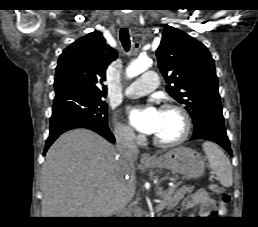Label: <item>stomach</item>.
<instances>
[{
  "mask_svg": "<svg viewBox=\"0 0 258 227\" xmlns=\"http://www.w3.org/2000/svg\"><path fill=\"white\" fill-rule=\"evenodd\" d=\"M148 168L167 169L182 174L188 179L199 178L205 170V162L201 155L188 147L179 146L145 165Z\"/></svg>",
  "mask_w": 258,
  "mask_h": 227,
  "instance_id": "obj_1",
  "label": "stomach"
}]
</instances>
